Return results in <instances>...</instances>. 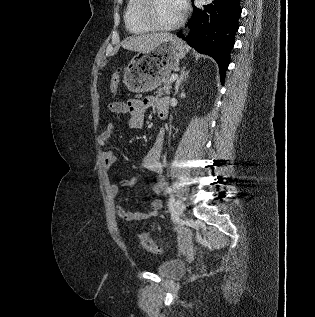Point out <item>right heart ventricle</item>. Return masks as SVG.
Instances as JSON below:
<instances>
[{"mask_svg": "<svg viewBox=\"0 0 315 317\" xmlns=\"http://www.w3.org/2000/svg\"><path fill=\"white\" fill-rule=\"evenodd\" d=\"M142 0H128L124 11L126 29L133 34H142L149 31L139 19V7Z\"/></svg>", "mask_w": 315, "mask_h": 317, "instance_id": "right-heart-ventricle-1", "label": "right heart ventricle"}]
</instances>
